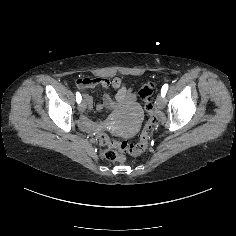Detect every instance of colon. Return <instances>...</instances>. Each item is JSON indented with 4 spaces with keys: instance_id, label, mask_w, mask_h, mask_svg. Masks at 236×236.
Listing matches in <instances>:
<instances>
[{
    "instance_id": "obj_1",
    "label": "colon",
    "mask_w": 236,
    "mask_h": 236,
    "mask_svg": "<svg viewBox=\"0 0 236 236\" xmlns=\"http://www.w3.org/2000/svg\"><path fill=\"white\" fill-rule=\"evenodd\" d=\"M106 81V79L101 78H79L76 80V84L81 88H86L93 84H99ZM107 82L109 83V81ZM155 91L156 84L154 82L146 83L139 91V95L144 102V107L149 115V119L137 143L132 144L127 141H114L111 140L107 134H100V143L104 147V156L107 160L122 162L124 161V153H128L132 156H139L146 150L150 141V133L158 122V117L154 111L153 94Z\"/></svg>"
}]
</instances>
